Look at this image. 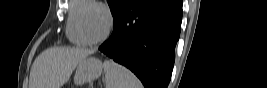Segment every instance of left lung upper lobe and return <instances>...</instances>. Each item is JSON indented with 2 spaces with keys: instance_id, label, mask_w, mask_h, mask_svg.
Masks as SVG:
<instances>
[{
  "instance_id": "1",
  "label": "left lung upper lobe",
  "mask_w": 267,
  "mask_h": 88,
  "mask_svg": "<svg viewBox=\"0 0 267 88\" xmlns=\"http://www.w3.org/2000/svg\"><path fill=\"white\" fill-rule=\"evenodd\" d=\"M128 1L129 0H107L114 20L119 16Z\"/></svg>"
}]
</instances>
